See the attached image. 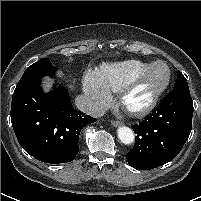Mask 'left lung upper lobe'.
<instances>
[{"label":"left lung upper lobe","mask_w":201,"mask_h":201,"mask_svg":"<svg viewBox=\"0 0 201 201\" xmlns=\"http://www.w3.org/2000/svg\"><path fill=\"white\" fill-rule=\"evenodd\" d=\"M181 87H188V83L184 75L180 71H178L177 79L174 84V89Z\"/></svg>","instance_id":"5c2ea615"}]
</instances>
